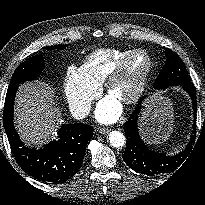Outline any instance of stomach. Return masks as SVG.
I'll return each mask as SVG.
<instances>
[{"label": "stomach", "mask_w": 205, "mask_h": 205, "mask_svg": "<svg viewBox=\"0 0 205 205\" xmlns=\"http://www.w3.org/2000/svg\"><path fill=\"white\" fill-rule=\"evenodd\" d=\"M143 139L151 145L166 141L173 131L172 106L167 97L156 94L144 102L140 117Z\"/></svg>", "instance_id": "stomach-1"}]
</instances>
